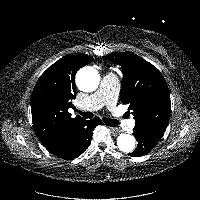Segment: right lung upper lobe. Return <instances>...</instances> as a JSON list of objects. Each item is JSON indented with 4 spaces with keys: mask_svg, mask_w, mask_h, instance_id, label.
<instances>
[{
    "mask_svg": "<svg viewBox=\"0 0 200 200\" xmlns=\"http://www.w3.org/2000/svg\"><path fill=\"white\" fill-rule=\"evenodd\" d=\"M93 61L90 56L66 55L51 65L37 81L31 96L35 133L48 149L56 147L83 119L71 118L75 74Z\"/></svg>",
    "mask_w": 200,
    "mask_h": 200,
    "instance_id": "cb5924a9",
    "label": "right lung upper lobe"
}]
</instances>
